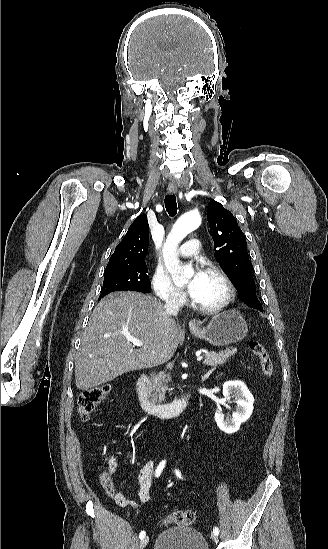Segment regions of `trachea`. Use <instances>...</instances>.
Listing matches in <instances>:
<instances>
[{"label": "trachea", "mask_w": 328, "mask_h": 549, "mask_svg": "<svg viewBox=\"0 0 328 549\" xmlns=\"http://www.w3.org/2000/svg\"><path fill=\"white\" fill-rule=\"evenodd\" d=\"M165 209L170 215V217H174L177 213V202L175 195H166L165 196Z\"/></svg>", "instance_id": "obj_1"}]
</instances>
